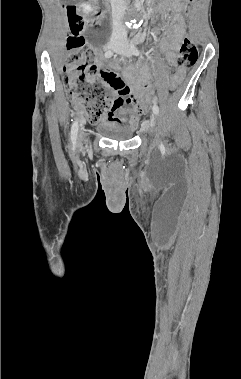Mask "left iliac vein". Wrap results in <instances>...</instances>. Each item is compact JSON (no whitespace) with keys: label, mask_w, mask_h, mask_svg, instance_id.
Segmentation results:
<instances>
[{"label":"left iliac vein","mask_w":241,"mask_h":379,"mask_svg":"<svg viewBox=\"0 0 241 379\" xmlns=\"http://www.w3.org/2000/svg\"><path fill=\"white\" fill-rule=\"evenodd\" d=\"M116 52L125 56H130L131 54V50L127 42H124L123 44H121V46L118 49H116ZM155 125H156V118H155V115L152 114L150 120L146 121L143 127H144V130H146L147 132L155 136V143L159 145L160 141L156 132Z\"/></svg>","instance_id":"4c4485c4"}]
</instances>
